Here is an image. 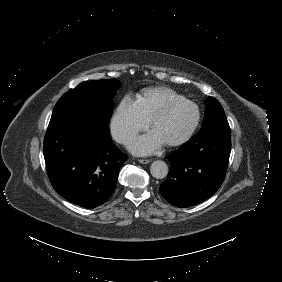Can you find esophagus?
Returning <instances> with one entry per match:
<instances>
[{
	"label": "esophagus",
	"mask_w": 282,
	"mask_h": 282,
	"mask_svg": "<svg viewBox=\"0 0 282 282\" xmlns=\"http://www.w3.org/2000/svg\"><path fill=\"white\" fill-rule=\"evenodd\" d=\"M138 162H140L142 164H147V163L151 162V159H138Z\"/></svg>",
	"instance_id": "1"
}]
</instances>
